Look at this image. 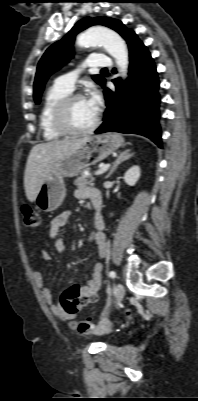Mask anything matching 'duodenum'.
Returning a JSON list of instances; mask_svg holds the SVG:
<instances>
[{
    "instance_id": "duodenum-1",
    "label": "duodenum",
    "mask_w": 198,
    "mask_h": 401,
    "mask_svg": "<svg viewBox=\"0 0 198 401\" xmlns=\"http://www.w3.org/2000/svg\"><path fill=\"white\" fill-rule=\"evenodd\" d=\"M90 199L92 201L93 207L96 211H100L101 209V196L98 192L93 191L90 194Z\"/></svg>"
}]
</instances>
